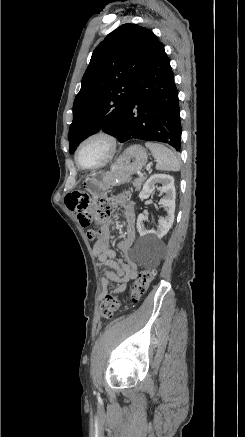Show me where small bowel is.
I'll return each mask as SVG.
<instances>
[{
    "label": "small bowel",
    "instance_id": "c3829d8e",
    "mask_svg": "<svg viewBox=\"0 0 245 437\" xmlns=\"http://www.w3.org/2000/svg\"><path fill=\"white\" fill-rule=\"evenodd\" d=\"M67 206L74 211L77 222L82 229H91L92 222L88 208L89 199L82 192H74L67 196ZM114 207L120 209L126 221L125 237L118 243V249L124 254V258H117L116 253L109 246L110 224L105 223L99 229V238L94 243L93 254L98 260V266L105 267V278L102 279V287L107 290L110 282L118 283L114 292H123L127 284L136 278L137 264L130 257V249L135 241V211L130 201L115 202ZM104 294H102L103 298Z\"/></svg>",
    "mask_w": 245,
    "mask_h": 437
}]
</instances>
